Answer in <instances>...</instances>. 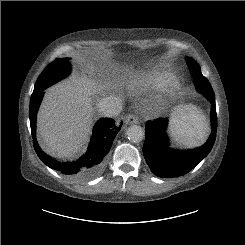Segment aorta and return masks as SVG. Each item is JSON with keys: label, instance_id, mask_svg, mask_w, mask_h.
<instances>
[{"label": "aorta", "instance_id": "762f6f07", "mask_svg": "<svg viewBox=\"0 0 245 245\" xmlns=\"http://www.w3.org/2000/svg\"><path fill=\"white\" fill-rule=\"evenodd\" d=\"M126 135L128 139L132 142H140L144 138V130L141 126L131 125L127 131Z\"/></svg>", "mask_w": 245, "mask_h": 245}]
</instances>
